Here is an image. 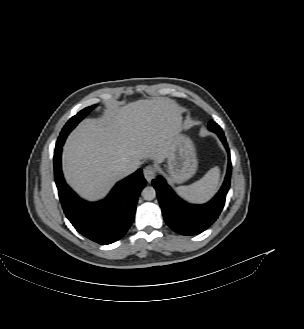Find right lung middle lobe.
Instances as JSON below:
<instances>
[{"instance_id": "dd1d6c3e", "label": "right lung middle lobe", "mask_w": 304, "mask_h": 329, "mask_svg": "<svg viewBox=\"0 0 304 329\" xmlns=\"http://www.w3.org/2000/svg\"><path fill=\"white\" fill-rule=\"evenodd\" d=\"M95 106H90L87 108H84L79 113H77L75 116H73L63 127L60 136L58 138V141L60 143V140L66 139L67 135L72 131V129L75 128V126L94 108Z\"/></svg>"}]
</instances>
